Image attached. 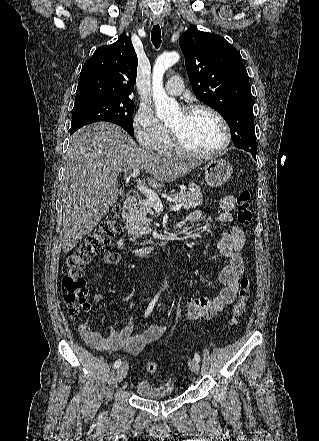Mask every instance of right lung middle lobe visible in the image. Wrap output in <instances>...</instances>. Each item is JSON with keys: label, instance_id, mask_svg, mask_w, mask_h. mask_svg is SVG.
<instances>
[{"label": "right lung middle lobe", "instance_id": "1", "mask_svg": "<svg viewBox=\"0 0 319 441\" xmlns=\"http://www.w3.org/2000/svg\"><path fill=\"white\" fill-rule=\"evenodd\" d=\"M134 103L128 98L89 97L75 99L70 131L98 121L115 123L131 136L134 134Z\"/></svg>", "mask_w": 319, "mask_h": 441}]
</instances>
